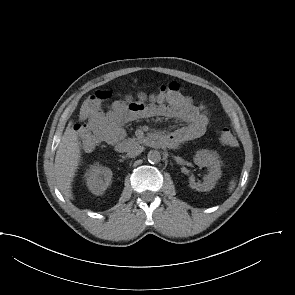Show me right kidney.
<instances>
[{
  "instance_id": "right-kidney-1",
  "label": "right kidney",
  "mask_w": 295,
  "mask_h": 295,
  "mask_svg": "<svg viewBox=\"0 0 295 295\" xmlns=\"http://www.w3.org/2000/svg\"><path fill=\"white\" fill-rule=\"evenodd\" d=\"M88 189L95 195H101L110 185L112 171L99 164L92 165L85 174Z\"/></svg>"
}]
</instances>
